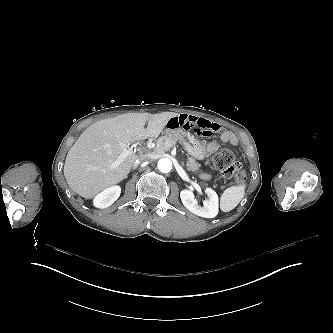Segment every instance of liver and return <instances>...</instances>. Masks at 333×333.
Listing matches in <instances>:
<instances>
[{
    "instance_id": "1",
    "label": "liver",
    "mask_w": 333,
    "mask_h": 333,
    "mask_svg": "<svg viewBox=\"0 0 333 333\" xmlns=\"http://www.w3.org/2000/svg\"><path fill=\"white\" fill-rule=\"evenodd\" d=\"M175 112L126 113L99 120L84 130L68 151L63 174L72 191L86 199H93L102 191L117 185L131 171L141 157L127 156L115 169L110 164L119 158L120 143L158 137ZM146 122L148 123L145 128Z\"/></svg>"
}]
</instances>
